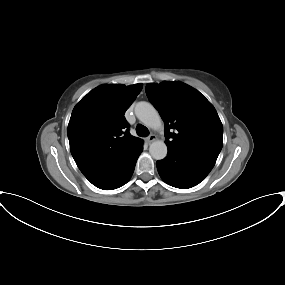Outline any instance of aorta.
<instances>
[{
	"instance_id": "obj_1",
	"label": "aorta",
	"mask_w": 285,
	"mask_h": 285,
	"mask_svg": "<svg viewBox=\"0 0 285 285\" xmlns=\"http://www.w3.org/2000/svg\"><path fill=\"white\" fill-rule=\"evenodd\" d=\"M136 117L147 127L159 130L163 127L162 119L152 104L142 101L135 106ZM167 145L162 140L151 143L149 153L156 160L164 159L167 155Z\"/></svg>"
}]
</instances>
